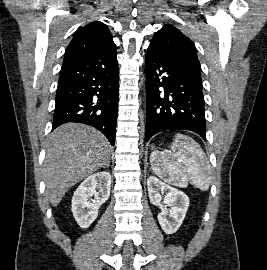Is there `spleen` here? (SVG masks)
<instances>
[{
    "mask_svg": "<svg viewBox=\"0 0 267 270\" xmlns=\"http://www.w3.org/2000/svg\"><path fill=\"white\" fill-rule=\"evenodd\" d=\"M170 148V151L151 154L154 173L175 186L184 188L190 182L203 191L208 190L210 164L200 145L187 135L176 134Z\"/></svg>",
    "mask_w": 267,
    "mask_h": 270,
    "instance_id": "spleen-1",
    "label": "spleen"
}]
</instances>
